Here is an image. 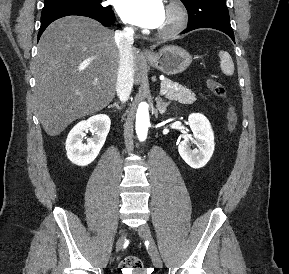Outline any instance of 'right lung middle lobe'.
I'll list each match as a JSON object with an SVG mask.
<instances>
[{
    "mask_svg": "<svg viewBox=\"0 0 289 274\" xmlns=\"http://www.w3.org/2000/svg\"><path fill=\"white\" fill-rule=\"evenodd\" d=\"M103 0H45L42 13L64 8H82L86 10L105 12L111 10V6H105Z\"/></svg>",
    "mask_w": 289,
    "mask_h": 274,
    "instance_id": "dd1d6c3e",
    "label": "right lung middle lobe"
}]
</instances>
